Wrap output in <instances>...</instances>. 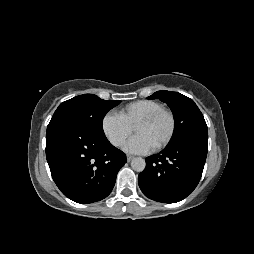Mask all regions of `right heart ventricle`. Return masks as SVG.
<instances>
[{"label": "right heart ventricle", "mask_w": 254, "mask_h": 254, "mask_svg": "<svg viewBox=\"0 0 254 254\" xmlns=\"http://www.w3.org/2000/svg\"><path fill=\"white\" fill-rule=\"evenodd\" d=\"M161 108H163L161 103L144 99L125 105L118 111V114L125 122L133 127L140 119Z\"/></svg>", "instance_id": "1"}]
</instances>
